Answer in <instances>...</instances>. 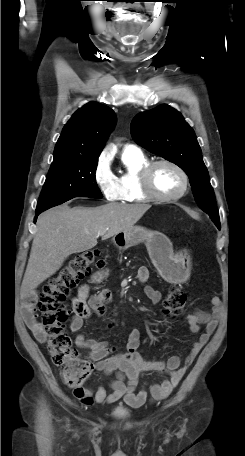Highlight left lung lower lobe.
Wrapping results in <instances>:
<instances>
[{"mask_svg":"<svg viewBox=\"0 0 245 456\" xmlns=\"http://www.w3.org/2000/svg\"><path fill=\"white\" fill-rule=\"evenodd\" d=\"M218 229H220V224H217Z\"/></svg>","mask_w":245,"mask_h":456,"instance_id":"obj_1","label":"left lung lower lobe"}]
</instances>
